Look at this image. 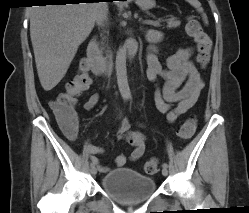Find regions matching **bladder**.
Segmentation results:
<instances>
[{
	"label": "bladder",
	"instance_id": "1",
	"mask_svg": "<svg viewBox=\"0 0 249 213\" xmlns=\"http://www.w3.org/2000/svg\"><path fill=\"white\" fill-rule=\"evenodd\" d=\"M101 189L121 204H138L152 196L156 183L152 177L134 169L120 168L101 178Z\"/></svg>",
	"mask_w": 249,
	"mask_h": 213
}]
</instances>
